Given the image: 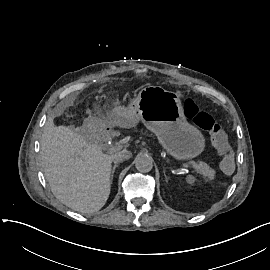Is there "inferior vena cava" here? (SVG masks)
Returning <instances> with one entry per match:
<instances>
[{"label": "inferior vena cava", "instance_id": "obj_1", "mask_svg": "<svg viewBox=\"0 0 270 270\" xmlns=\"http://www.w3.org/2000/svg\"><path fill=\"white\" fill-rule=\"evenodd\" d=\"M130 158V154L126 151H120L114 155L111 156V161L114 163H121L123 161H126Z\"/></svg>", "mask_w": 270, "mask_h": 270}]
</instances>
